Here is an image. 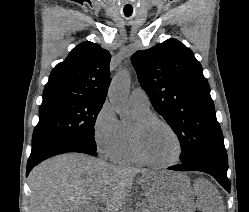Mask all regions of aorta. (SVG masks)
<instances>
[{"instance_id":"aorta-1","label":"aorta","mask_w":249,"mask_h":212,"mask_svg":"<svg viewBox=\"0 0 249 212\" xmlns=\"http://www.w3.org/2000/svg\"><path fill=\"white\" fill-rule=\"evenodd\" d=\"M130 82L129 71L122 69L113 77L109 87V101L121 118H126L129 114L127 99Z\"/></svg>"}]
</instances>
